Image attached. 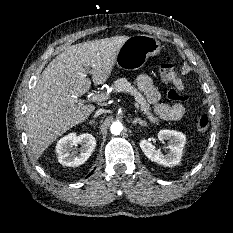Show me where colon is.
I'll list each match as a JSON object with an SVG mask.
<instances>
[{"instance_id": "colon-1", "label": "colon", "mask_w": 233, "mask_h": 233, "mask_svg": "<svg viewBox=\"0 0 233 233\" xmlns=\"http://www.w3.org/2000/svg\"><path fill=\"white\" fill-rule=\"evenodd\" d=\"M160 75L164 83L172 85L167 92V97L176 103L182 102L187 99L185 91L175 85L176 80L179 78L173 66L169 62H165L160 66ZM196 126L200 132H207L209 129V118L205 113L198 114L196 118Z\"/></svg>"}]
</instances>
